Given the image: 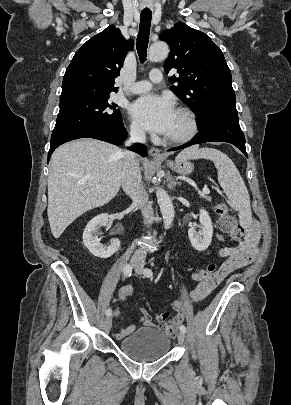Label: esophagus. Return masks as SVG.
I'll list each match as a JSON object with an SVG mask.
<instances>
[{
	"instance_id": "1",
	"label": "esophagus",
	"mask_w": 291,
	"mask_h": 405,
	"mask_svg": "<svg viewBox=\"0 0 291 405\" xmlns=\"http://www.w3.org/2000/svg\"><path fill=\"white\" fill-rule=\"evenodd\" d=\"M149 154H150V156H151L152 158H154V159H161V158H162V154H161L160 149L155 148V147H152V148L149 150Z\"/></svg>"
}]
</instances>
